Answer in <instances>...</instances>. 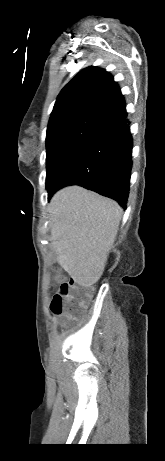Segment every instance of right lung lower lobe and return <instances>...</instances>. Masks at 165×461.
I'll use <instances>...</instances> for the list:
<instances>
[{
    "instance_id": "1",
    "label": "right lung lower lobe",
    "mask_w": 165,
    "mask_h": 461,
    "mask_svg": "<svg viewBox=\"0 0 165 461\" xmlns=\"http://www.w3.org/2000/svg\"><path fill=\"white\" fill-rule=\"evenodd\" d=\"M126 117L125 110L108 119L83 142L46 186L48 200L62 187L80 185L126 208L132 168V136Z\"/></svg>"
}]
</instances>
